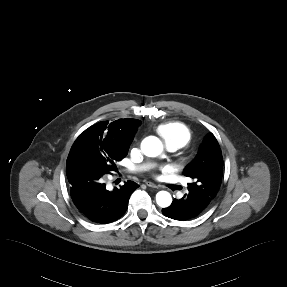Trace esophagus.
Wrapping results in <instances>:
<instances>
[{"label": "esophagus", "instance_id": "34e87169", "mask_svg": "<svg viewBox=\"0 0 287 287\" xmlns=\"http://www.w3.org/2000/svg\"><path fill=\"white\" fill-rule=\"evenodd\" d=\"M146 185L148 186V187H151V188H156V189H158V186L157 185H155L154 183H152V182H146Z\"/></svg>", "mask_w": 287, "mask_h": 287}]
</instances>
